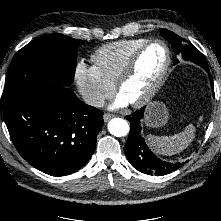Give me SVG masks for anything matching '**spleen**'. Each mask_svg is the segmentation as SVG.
<instances>
[{"mask_svg": "<svg viewBox=\"0 0 221 221\" xmlns=\"http://www.w3.org/2000/svg\"><path fill=\"white\" fill-rule=\"evenodd\" d=\"M202 117H200V120ZM195 127L189 124L185 130L173 136H147V140L158 154L171 156L183 151L193 141Z\"/></svg>", "mask_w": 221, "mask_h": 221, "instance_id": "3e777b00", "label": "spleen"}]
</instances>
